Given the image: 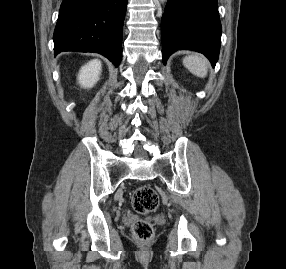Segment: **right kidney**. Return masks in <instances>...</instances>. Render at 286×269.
Wrapping results in <instances>:
<instances>
[{
    "instance_id": "obj_1",
    "label": "right kidney",
    "mask_w": 286,
    "mask_h": 269,
    "mask_svg": "<svg viewBox=\"0 0 286 269\" xmlns=\"http://www.w3.org/2000/svg\"><path fill=\"white\" fill-rule=\"evenodd\" d=\"M101 70V62L98 59L91 60L84 65L78 74V81L81 87H93L99 80Z\"/></svg>"
}]
</instances>
